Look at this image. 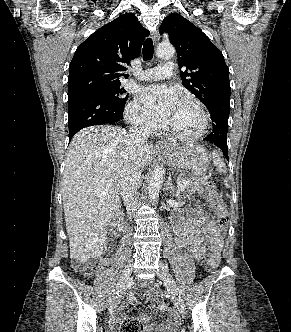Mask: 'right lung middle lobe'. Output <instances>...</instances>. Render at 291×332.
Segmentation results:
<instances>
[{
	"mask_svg": "<svg viewBox=\"0 0 291 332\" xmlns=\"http://www.w3.org/2000/svg\"><path fill=\"white\" fill-rule=\"evenodd\" d=\"M120 86L121 84L99 83L94 85L88 91L96 92L108 98L120 108H123L127 101L128 95H126V90L124 88H121Z\"/></svg>",
	"mask_w": 291,
	"mask_h": 332,
	"instance_id": "right-lung-middle-lobe-1",
	"label": "right lung middle lobe"
}]
</instances>
